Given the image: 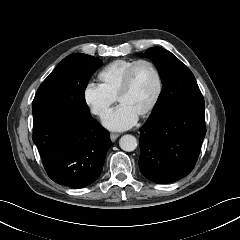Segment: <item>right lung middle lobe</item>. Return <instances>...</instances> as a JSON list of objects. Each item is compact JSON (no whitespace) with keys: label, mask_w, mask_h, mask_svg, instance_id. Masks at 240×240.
<instances>
[{"label":"right lung middle lobe","mask_w":240,"mask_h":240,"mask_svg":"<svg viewBox=\"0 0 240 240\" xmlns=\"http://www.w3.org/2000/svg\"><path fill=\"white\" fill-rule=\"evenodd\" d=\"M100 65L94 56L83 53L67 56L40 85L32 108L58 106L90 112L84 91L92 73Z\"/></svg>","instance_id":"obj_1"}]
</instances>
